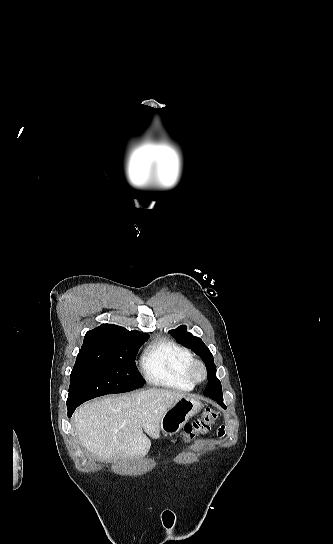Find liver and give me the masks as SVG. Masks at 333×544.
Returning a JSON list of instances; mask_svg holds the SVG:
<instances>
[{
	"instance_id": "1",
	"label": "liver",
	"mask_w": 333,
	"mask_h": 544,
	"mask_svg": "<svg viewBox=\"0 0 333 544\" xmlns=\"http://www.w3.org/2000/svg\"><path fill=\"white\" fill-rule=\"evenodd\" d=\"M185 395L164 389L108 397L80 406L73 426L80 443L101 459L143 457L151 441L159 437V425L166 411Z\"/></svg>"
}]
</instances>
